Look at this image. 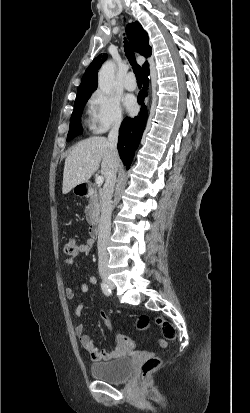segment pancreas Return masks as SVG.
Here are the masks:
<instances>
[{"mask_svg":"<svg viewBox=\"0 0 250 413\" xmlns=\"http://www.w3.org/2000/svg\"><path fill=\"white\" fill-rule=\"evenodd\" d=\"M100 210L101 193L96 188H93L89 194V204L85 209L86 218L90 224H95L99 220Z\"/></svg>","mask_w":250,"mask_h":413,"instance_id":"obj_1","label":"pancreas"}]
</instances>
